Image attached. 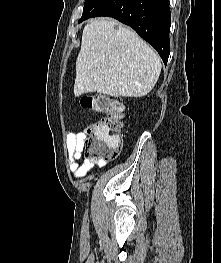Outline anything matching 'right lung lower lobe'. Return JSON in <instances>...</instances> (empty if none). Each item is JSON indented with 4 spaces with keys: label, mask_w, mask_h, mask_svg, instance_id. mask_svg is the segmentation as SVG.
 Wrapping results in <instances>:
<instances>
[{
    "label": "right lung lower lobe",
    "mask_w": 221,
    "mask_h": 263,
    "mask_svg": "<svg viewBox=\"0 0 221 263\" xmlns=\"http://www.w3.org/2000/svg\"><path fill=\"white\" fill-rule=\"evenodd\" d=\"M169 0H108L91 17L109 16L132 27L167 64L170 54Z\"/></svg>",
    "instance_id": "1"
}]
</instances>
